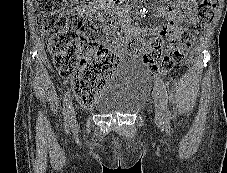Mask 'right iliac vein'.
<instances>
[{"label":"right iliac vein","instance_id":"obj_1","mask_svg":"<svg viewBox=\"0 0 227 173\" xmlns=\"http://www.w3.org/2000/svg\"><path fill=\"white\" fill-rule=\"evenodd\" d=\"M76 122V115L73 106L70 108V125H74Z\"/></svg>","mask_w":227,"mask_h":173}]
</instances>
